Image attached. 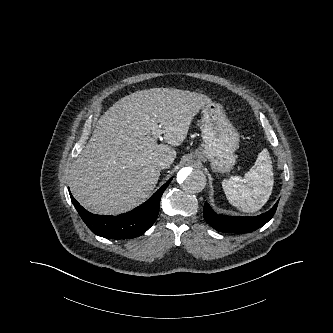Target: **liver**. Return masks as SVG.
<instances>
[{"instance_id":"6515ba94","label":"liver","mask_w":333,"mask_h":333,"mask_svg":"<svg viewBox=\"0 0 333 333\" xmlns=\"http://www.w3.org/2000/svg\"><path fill=\"white\" fill-rule=\"evenodd\" d=\"M210 103L206 95L173 88L136 91L118 100L98 120L74 161L69 182L74 198L103 215H118L144 202L160 178L156 162H174L172 147L182 144L193 118ZM158 124L167 144L153 137Z\"/></svg>"}]
</instances>
